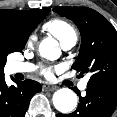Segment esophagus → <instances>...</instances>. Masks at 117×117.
Here are the masks:
<instances>
[{
    "instance_id": "1",
    "label": "esophagus",
    "mask_w": 117,
    "mask_h": 117,
    "mask_svg": "<svg viewBox=\"0 0 117 117\" xmlns=\"http://www.w3.org/2000/svg\"><path fill=\"white\" fill-rule=\"evenodd\" d=\"M57 87L55 85L52 84H44L43 85V90L44 91H53L55 90Z\"/></svg>"
}]
</instances>
